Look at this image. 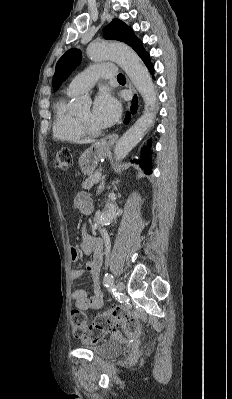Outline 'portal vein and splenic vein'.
Instances as JSON below:
<instances>
[{"instance_id":"portal-vein-and-splenic-vein-1","label":"portal vein and splenic vein","mask_w":232,"mask_h":399,"mask_svg":"<svg viewBox=\"0 0 232 399\" xmlns=\"http://www.w3.org/2000/svg\"><path fill=\"white\" fill-rule=\"evenodd\" d=\"M95 178H96L95 182H99V180H100V178H101L100 172H97Z\"/></svg>"}]
</instances>
